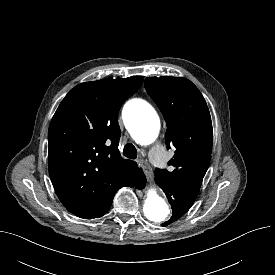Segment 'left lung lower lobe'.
<instances>
[{"mask_svg":"<svg viewBox=\"0 0 275 275\" xmlns=\"http://www.w3.org/2000/svg\"><path fill=\"white\" fill-rule=\"evenodd\" d=\"M155 181L166 194L171 206L172 217L162 225H168L181 218L193 205L199 189L171 183L166 177L155 172Z\"/></svg>","mask_w":275,"mask_h":275,"instance_id":"1","label":"left lung lower lobe"}]
</instances>
